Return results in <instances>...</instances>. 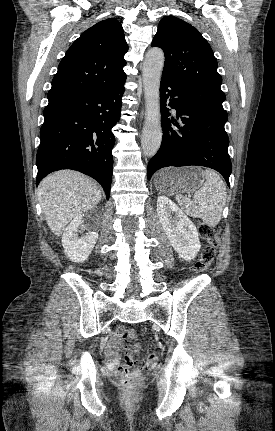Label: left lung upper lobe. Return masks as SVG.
Returning a JSON list of instances; mask_svg holds the SVG:
<instances>
[{
	"label": "left lung upper lobe",
	"instance_id": "5c2ea615",
	"mask_svg": "<svg viewBox=\"0 0 275 431\" xmlns=\"http://www.w3.org/2000/svg\"><path fill=\"white\" fill-rule=\"evenodd\" d=\"M164 51L166 76L203 107L228 116L222 103L225 94L220 86L217 60L208 42L187 22L166 16L161 19L151 44Z\"/></svg>",
	"mask_w": 275,
	"mask_h": 431
}]
</instances>
